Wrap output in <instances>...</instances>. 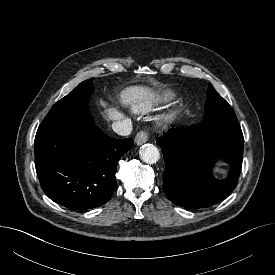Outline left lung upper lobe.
Returning <instances> with one entry per match:
<instances>
[{
    "instance_id": "1",
    "label": "left lung upper lobe",
    "mask_w": 275,
    "mask_h": 275,
    "mask_svg": "<svg viewBox=\"0 0 275 275\" xmlns=\"http://www.w3.org/2000/svg\"><path fill=\"white\" fill-rule=\"evenodd\" d=\"M206 97L204 122L207 128H240L233 109L212 85H209Z\"/></svg>"
}]
</instances>
